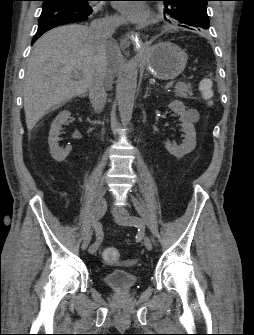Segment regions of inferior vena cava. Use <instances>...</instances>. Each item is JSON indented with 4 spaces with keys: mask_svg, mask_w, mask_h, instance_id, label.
Segmentation results:
<instances>
[{
    "mask_svg": "<svg viewBox=\"0 0 254 335\" xmlns=\"http://www.w3.org/2000/svg\"><path fill=\"white\" fill-rule=\"evenodd\" d=\"M121 23L122 19L115 16L93 20L89 27L92 41L99 45L105 43L112 37L116 28L121 25ZM107 86L108 77L106 69L100 66L91 76L88 84L89 99L96 112H100L104 108L107 99Z\"/></svg>",
    "mask_w": 254,
    "mask_h": 335,
    "instance_id": "obj_1",
    "label": "inferior vena cava"
}]
</instances>
